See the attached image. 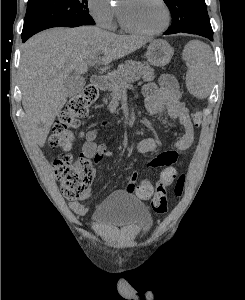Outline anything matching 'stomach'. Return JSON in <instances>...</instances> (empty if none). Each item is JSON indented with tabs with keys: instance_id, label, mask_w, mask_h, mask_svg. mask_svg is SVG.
<instances>
[{
	"instance_id": "obj_1",
	"label": "stomach",
	"mask_w": 245,
	"mask_h": 300,
	"mask_svg": "<svg viewBox=\"0 0 245 300\" xmlns=\"http://www.w3.org/2000/svg\"><path fill=\"white\" fill-rule=\"evenodd\" d=\"M173 53L174 50L167 41L156 39L149 44L146 56L151 65L162 67L170 62Z\"/></svg>"
}]
</instances>
